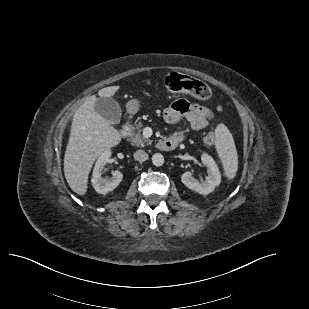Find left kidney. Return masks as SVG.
Here are the masks:
<instances>
[{"label": "left kidney", "instance_id": "1", "mask_svg": "<svg viewBox=\"0 0 309 309\" xmlns=\"http://www.w3.org/2000/svg\"><path fill=\"white\" fill-rule=\"evenodd\" d=\"M201 161L207 167L208 176L206 180L200 183L192 176L190 171H187L181 176V181L189 189L195 190L199 194L207 195L213 192L215 187L221 183V174L215 161L208 154H203Z\"/></svg>", "mask_w": 309, "mask_h": 309}]
</instances>
